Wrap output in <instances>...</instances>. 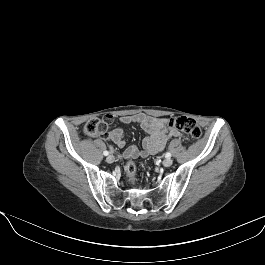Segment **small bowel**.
I'll list each match as a JSON object with an SVG mask.
<instances>
[{
	"label": "small bowel",
	"instance_id": "c3829d8e",
	"mask_svg": "<svg viewBox=\"0 0 265 265\" xmlns=\"http://www.w3.org/2000/svg\"><path fill=\"white\" fill-rule=\"evenodd\" d=\"M120 125L104 136L115 143L119 148L126 145L123 125L136 123L146 133L147 137L142 142V149L136 146H129L123 155L125 158L147 157L164 149L169 138L186 139V136L176 128L168 125V119L163 117L150 116L144 113L124 115L119 119Z\"/></svg>",
	"mask_w": 265,
	"mask_h": 265
}]
</instances>
